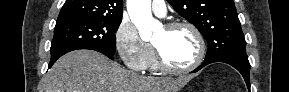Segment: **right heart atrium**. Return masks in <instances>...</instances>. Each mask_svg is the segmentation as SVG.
Listing matches in <instances>:
<instances>
[{"label": "right heart atrium", "instance_id": "obj_1", "mask_svg": "<svg viewBox=\"0 0 289 92\" xmlns=\"http://www.w3.org/2000/svg\"><path fill=\"white\" fill-rule=\"evenodd\" d=\"M115 46L124 64L135 71L148 68L154 57L152 46L142 40L136 27L127 20L115 32Z\"/></svg>", "mask_w": 289, "mask_h": 92}]
</instances>
